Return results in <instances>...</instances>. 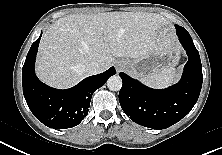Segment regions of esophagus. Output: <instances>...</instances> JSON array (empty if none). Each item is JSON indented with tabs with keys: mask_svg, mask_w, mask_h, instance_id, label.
<instances>
[{
	"mask_svg": "<svg viewBox=\"0 0 222 155\" xmlns=\"http://www.w3.org/2000/svg\"><path fill=\"white\" fill-rule=\"evenodd\" d=\"M123 65L121 63H117L116 67L119 70Z\"/></svg>",
	"mask_w": 222,
	"mask_h": 155,
	"instance_id": "obj_1",
	"label": "esophagus"
}]
</instances>
